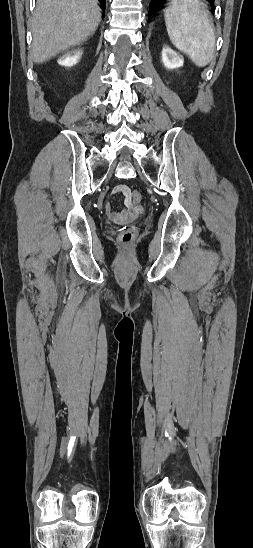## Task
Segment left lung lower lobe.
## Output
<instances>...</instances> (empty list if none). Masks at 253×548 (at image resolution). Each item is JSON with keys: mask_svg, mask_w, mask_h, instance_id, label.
<instances>
[{"mask_svg": "<svg viewBox=\"0 0 253 548\" xmlns=\"http://www.w3.org/2000/svg\"><path fill=\"white\" fill-rule=\"evenodd\" d=\"M164 1L166 0H152L150 3L149 12L152 13L156 11L160 7L161 3ZM207 1L211 4V6H213V3L215 0H207Z\"/></svg>", "mask_w": 253, "mask_h": 548, "instance_id": "left-lung-lower-lobe-1", "label": "left lung lower lobe"}]
</instances>
